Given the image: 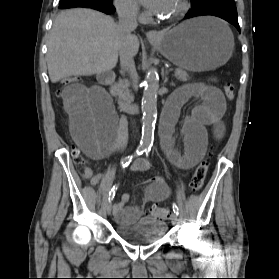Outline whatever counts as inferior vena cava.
<instances>
[{"instance_id":"inferior-vena-cava-1","label":"inferior vena cava","mask_w":279,"mask_h":279,"mask_svg":"<svg viewBox=\"0 0 279 279\" xmlns=\"http://www.w3.org/2000/svg\"><path fill=\"white\" fill-rule=\"evenodd\" d=\"M118 17H119V55L121 61V67L128 71L133 77L135 67L133 56L131 55L128 38L131 36V32L134 31L137 26V11L132 6H121L118 8Z\"/></svg>"}]
</instances>
